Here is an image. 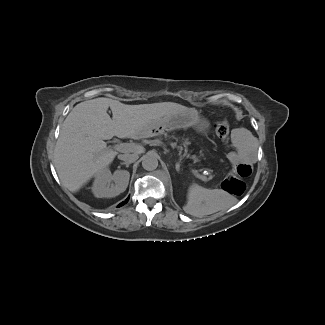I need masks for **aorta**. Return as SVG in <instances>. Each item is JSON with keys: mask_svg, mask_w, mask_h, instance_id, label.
Masks as SVG:
<instances>
[{"mask_svg": "<svg viewBox=\"0 0 325 325\" xmlns=\"http://www.w3.org/2000/svg\"><path fill=\"white\" fill-rule=\"evenodd\" d=\"M142 167L147 171H153L158 167L157 155L153 152H148L142 157Z\"/></svg>", "mask_w": 325, "mask_h": 325, "instance_id": "1", "label": "aorta"}]
</instances>
